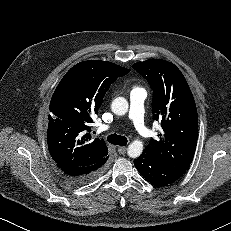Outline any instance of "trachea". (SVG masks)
Instances as JSON below:
<instances>
[{
	"label": "trachea",
	"mask_w": 231,
	"mask_h": 231,
	"mask_svg": "<svg viewBox=\"0 0 231 231\" xmlns=\"http://www.w3.org/2000/svg\"><path fill=\"white\" fill-rule=\"evenodd\" d=\"M107 141L111 144L120 145V146H126L128 142L126 137L117 134H111L107 136Z\"/></svg>",
	"instance_id": "trachea-1"
}]
</instances>
